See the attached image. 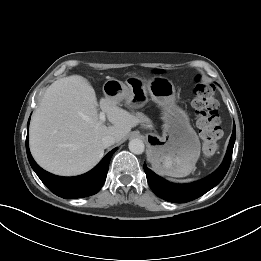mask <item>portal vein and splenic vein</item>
Wrapping results in <instances>:
<instances>
[{
	"instance_id": "18ae733b",
	"label": "portal vein and splenic vein",
	"mask_w": 261,
	"mask_h": 261,
	"mask_svg": "<svg viewBox=\"0 0 261 261\" xmlns=\"http://www.w3.org/2000/svg\"><path fill=\"white\" fill-rule=\"evenodd\" d=\"M99 119H100L101 122H105V120H106V115H105V113H104L103 111L100 112V114H99Z\"/></svg>"
}]
</instances>
